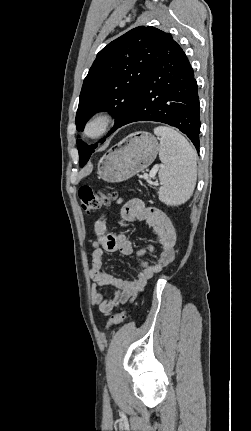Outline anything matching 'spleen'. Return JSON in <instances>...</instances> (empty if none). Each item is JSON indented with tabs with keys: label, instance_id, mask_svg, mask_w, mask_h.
I'll use <instances>...</instances> for the list:
<instances>
[{
	"label": "spleen",
	"instance_id": "1",
	"mask_svg": "<svg viewBox=\"0 0 251 431\" xmlns=\"http://www.w3.org/2000/svg\"><path fill=\"white\" fill-rule=\"evenodd\" d=\"M154 133L160 137L159 170L160 201L170 206L185 203L191 197L197 180V154L189 142L171 127L159 126Z\"/></svg>",
	"mask_w": 251,
	"mask_h": 431
}]
</instances>
